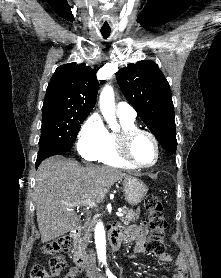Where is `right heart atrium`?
Wrapping results in <instances>:
<instances>
[{
  "instance_id": "obj_1",
  "label": "right heart atrium",
  "mask_w": 221,
  "mask_h": 278,
  "mask_svg": "<svg viewBox=\"0 0 221 278\" xmlns=\"http://www.w3.org/2000/svg\"><path fill=\"white\" fill-rule=\"evenodd\" d=\"M108 137V131L98 114L88 117L78 133L77 149L87 161L98 160Z\"/></svg>"
}]
</instances>
